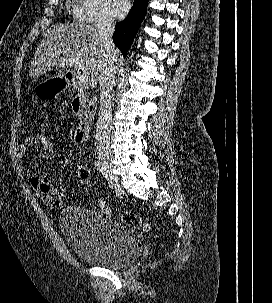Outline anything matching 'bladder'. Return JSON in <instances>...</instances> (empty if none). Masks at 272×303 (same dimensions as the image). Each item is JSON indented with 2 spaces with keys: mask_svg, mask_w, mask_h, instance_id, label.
I'll return each mask as SVG.
<instances>
[{
  "mask_svg": "<svg viewBox=\"0 0 272 303\" xmlns=\"http://www.w3.org/2000/svg\"><path fill=\"white\" fill-rule=\"evenodd\" d=\"M59 225L74 254L84 262L122 267L130 264L140 252L133 232L100 211L81 206L66 207Z\"/></svg>",
  "mask_w": 272,
  "mask_h": 303,
  "instance_id": "obj_1",
  "label": "bladder"
}]
</instances>
